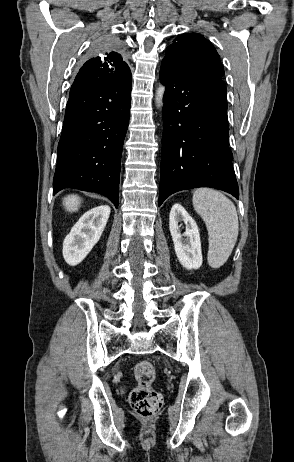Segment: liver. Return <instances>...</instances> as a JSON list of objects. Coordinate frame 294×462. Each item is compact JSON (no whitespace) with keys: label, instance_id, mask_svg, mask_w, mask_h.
Returning <instances> with one entry per match:
<instances>
[{"label":"liver","instance_id":"obj_1","mask_svg":"<svg viewBox=\"0 0 294 462\" xmlns=\"http://www.w3.org/2000/svg\"><path fill=\"white\" fill-rule=\"evenodd\" d=\"M81 199L77 195H68L63 200V205L69 212H76L80 207Z\"/></svg>","mask_w":294,"mask_h":462}]
</instances>
